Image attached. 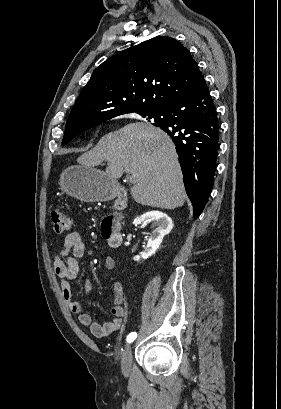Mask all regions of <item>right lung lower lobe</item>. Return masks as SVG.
I'll use <instances>...</instances> for the list:
<instances>
[{
	"label": "right lung lower lobe",
	"instance_id": "98d812e1",
	"mask_svg": "<svg viewBox=\"0 0 281 409\" xmlns=\"http://www.w3.org/2000/svg\"><path fill=\"white\" fill-rule=\"evenodd\" d=\"M155 126L173 140L184 182L198 218L210 195L218 149V119L203 76L181 97L153 112Z\"/></svg>",
	"mask_w": 281,
	"mask_h": 409
}]
</instances>
